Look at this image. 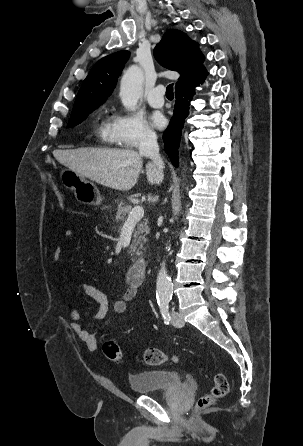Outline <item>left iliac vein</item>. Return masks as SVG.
Here are the masks:
<instances>
[{
	"mask_svg": "<svg viewBox=\"0 0 303 446\" xmlns=\"http://www.w3.org/2000/svg\"><path fill=\"white\" fill-rule=\"evenodd\" d=\"M171 322L175 327H183L185 322L177 311H171Z\"/></svg>",
	"mask_w": 303,
	"mask_h": 446,
	"instance_id": "obj_1",
	"label": "left iliac vein"
}]
</instances>
